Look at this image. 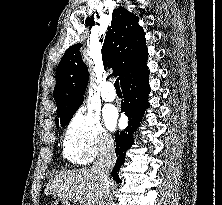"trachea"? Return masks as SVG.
Masks as SVG:
<instances>
[{
    "label": "trachea",
    "instance_id": "1",
    "mask_svg": "<svg viewBox=\"0 0 222 205\" xmlns=\"http://www.w3.org/2000/svg\"><path fill=\"white\" fill-rule=\"evenodd\" d=\"M115 89L116 90H120V84H119V80L116 79L115 83H114Z\"/></svg>",
    "mask_w": 222,
    "mask_h": 205
}]
</instances>
